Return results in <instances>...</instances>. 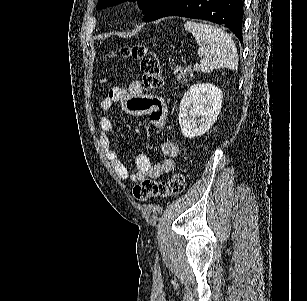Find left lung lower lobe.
I'll return each instance as SVG.
<instances>
[{
    "label": "left lung lower lobe",
    "instance_id": "obj_1",
    "mask_svg": "<svg viewBox=\"0 0 307 301\" xmlns=\"http://www.w3.org/2000/svg\"><path fill=\"white\" fill-rule=\"evenodd\" d=\"M243 0H176L157 18L181 16L221 24L243 41Z\"/></svg>",
    "mask_w": 307,
    "mask_h": 301
}]
</instances>
